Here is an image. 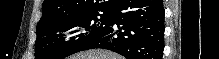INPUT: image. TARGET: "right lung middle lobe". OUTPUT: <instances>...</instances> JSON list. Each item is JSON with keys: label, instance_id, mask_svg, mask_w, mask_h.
Wrapping results in <instances>:
<instances>
[{"label": "right lung middle lobe", "instance_id": "obj_1", "mask_svg": "<svg viewBox=\"0 0 219 59\" xmlns=\"http://www.w3.org/2000/svg\"><path fill=\"white\" fill-rule=\"evenodd\" d=\"M100 16V18H98ZM110 11L75 15L37 27L35 59H63L82 50L109 25Z\"/></svg>", "mask_w": 219, "mask_h": 59}]
</instances>
